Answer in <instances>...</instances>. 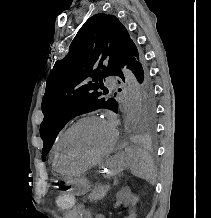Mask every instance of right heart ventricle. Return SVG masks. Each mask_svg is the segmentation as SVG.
Returning <instances> with one entry per match:
<instances>
[{
  "label": "right heart ventricle",
  "instance_id": "obj_1",
  "mask_svg": "<svg viewBox=\"0 0 211 218\" xmlns=\"http://www.w3.org/2000/svg\"><path fill=\"white\" fill-rule=\"evenodd\" d=\"M58 140H59V138L56 140L54 148H53V157H54V159H55V149H56ZM50 164L52 165L53 169H62V164H59L58 160H51Z\"/></svg>",
  "mask_w": 211,
  "mask_h": 218
}]
</instances>
